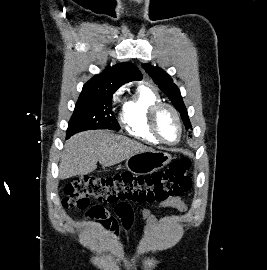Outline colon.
Instances as JSON below:
<instances>
[{
    "label": "colon",
    "instance_id": "colon-1",
    "mask_svg": "<svg viewBox=\"0 0 267 270\" xmlns=\"http://www.w3.org/2000/svg\"><path fill=\"white\" fill-rule=\"evenodd\" d=\"M190 166V160L182 158L172 162L166 170L148 175L125 172L110 177H82L66 185L62 204L65 208L85 210L91 200L103 204L162 203L190 190Z\"/></svg>",
    "mask_w": 267,
    "mask_h": 270
}]
</instances>
